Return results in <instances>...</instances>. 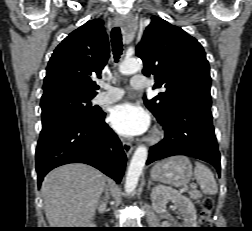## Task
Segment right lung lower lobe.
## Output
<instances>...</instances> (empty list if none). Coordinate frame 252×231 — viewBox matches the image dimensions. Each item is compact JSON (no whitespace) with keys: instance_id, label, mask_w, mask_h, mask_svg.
I'll list each match as a JSON object with an SVG mask.
<instances>
[{"instance_id":"98d812e1","label":"right lung lower lobe","mask_w":252,"mask_h":231,"mask_svg":"<svg viewBox=\"0 0 252 231\" xmlns=\"http://www.w3.org/2000/svg\"><path fill=\"white\" fill-rule=\"evenodd\" d=\"M104 119L100 110L91 118L63 117L42 125L36 148L38 185L50 170L68 163L89 164L120 183L126 155Z\"/></svg>"}]
</instances>
